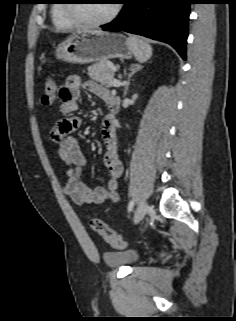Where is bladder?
Segmentation results:
<instances>
[{"instance_id":"obj_1","label":"bladder","mask_w":236,"mask_h":321,"mask_svg":"<svg viewBox=\"0 0 236 321\" xmlns=\"http://www.w3.org/2000/svg\"><path fill=\"white\" fill-rule=\"evenodd\" d=\"M140 258V253L135 250L103 254V259L109 267L133 266L139 262Z\"/></svg>"}]
</instances>
